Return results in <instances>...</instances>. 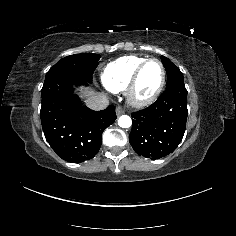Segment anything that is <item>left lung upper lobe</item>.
I'll return each instance as SVG.
<instances>
[{"label": "left lung upper lobe", "mask_w": 236, "mask_h": 236, "mask_svg": "<svg viewBox=\"0 0 236 236\" xmlns=\"http://www.w3.org/2000/svg\"><path fill=\"white\" fill-rule=\"evenodd\" d=\"M161 61L166 69L168 82L166 87L176 84H184L183 74L167 57L161 56Z\"/></svg>", "instance_id": "obj_1"}]
</instances>
